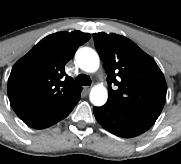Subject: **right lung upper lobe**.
<instances>
[{"label":"right lung upper lobe","instance_id":"1","mask_svg":"<svg viewBox=\"0 0 181 164\" xmlns=\"http://www.w3.org/2000/svg\"><path fill=\"white\" fill-rule=\"evenodd\" d=\"M90 37L80 31L54 33L15 63L8 97L20 119L56 120L78 103L82 87L73 84L64 67Z\"/></svg>","mask_w":181,"mask_h":164}]
</instances>
